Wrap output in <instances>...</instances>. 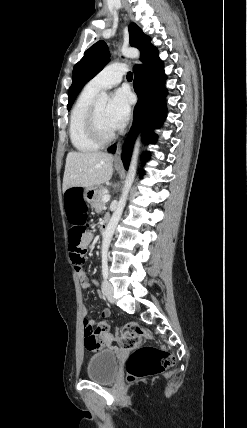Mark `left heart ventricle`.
<instances>
[{
	"mask_svg": "<svg viewBox=\"0 0 247 428\" xmlns=\"http://www.w3.org/2000/svg\"><path fill=\"white\" fill-rule=\"evenodd\" d=\"M107 106L106 102H99L97 104V123L100 131L104 135H109L114 132V128L110 125L107 118Z\"/></svg>",
	"mask_w": 247,
	"mask_h": 428,
	"instance_id": "left-heart-ventricle-1",
	"label": "left heart ventricle"
}]
</instances>
